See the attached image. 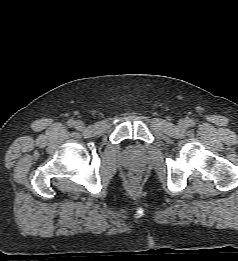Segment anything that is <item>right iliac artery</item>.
Here are the masks:
<instances>
[{
    "label": "right iliac artery",
    "mask_w": 238,
    "mask_h": 261,
    "mask_svg": "<svg viewBox=\"0 0 238 261\" xmlns=\"http://www.w3.org/2000/svg\"><path fill=\"white\" fill-rule=\"evenodd\" d=\"M67 124H68V126L73 127V126L75 125V121L69 120V121L67 122Z\"/></svg>",
    "instance_id": "obj_1"
}]
</instances>
